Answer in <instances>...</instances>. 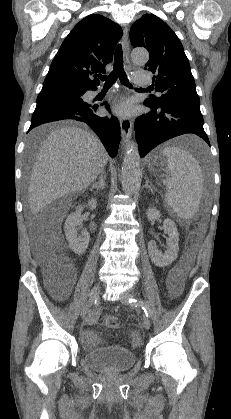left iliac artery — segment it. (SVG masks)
Here are the masks:
<instances>
[{"mask_svg": "<svg viewBox=\"0 0 231 419\" xmlns=\"http://www.w3.org/2000/svg\"><path fill=\"white\" fill-rule=\"evenodd\" d=\"M129 303L135 307H141L144 310L145 315L150 318L151 317V310L149 305L144 302L143 300H138L134 298H129Z\"/></svg>", "mask_w": 231, "mask_h": 419, "instance_id": "1", "label": "left iliac artery"}]
</instances>
